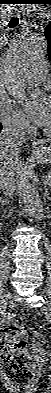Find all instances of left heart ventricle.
Returning <instances> with one entry per match:
<instances>
[{
	"label": "left heart ventricle",
	"mask_w": 51,
	"mask_h": 393,
	"mask_svg": "<svg viewBox=\"0 0 51 393\" xmlns=\"http://www.w3.org/2000/svg\"><path fill=\"white\" fill-rule=\"evenodd\" d=\"M46 127H48V130H51V119L49 120L48 124L46 125Z\"/></svg>",
	"instance_id": "obj_1"
}]
</instances>
